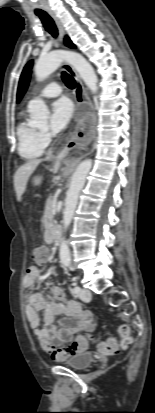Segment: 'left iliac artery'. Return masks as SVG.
Wrapping results in <instances>:
<instances>
[{"label": "left iliac artery", "mask_w": 155, "mask_h": 413, "mask_svg": "<svg viewBox=\"0 0 155 413\" xmlns=\"http://www.w3.org/2000/svg\"><path fill=\"white\" fill-rule=\"evenodd\" d=\"M80 291H81V289H80L79 286H75L74 289H73V292L77 295L80 293Z\"/></svg>", "instance_id": "44dca946"}]
</instances>
